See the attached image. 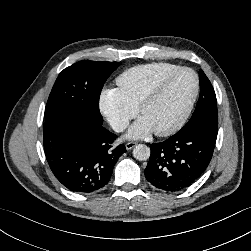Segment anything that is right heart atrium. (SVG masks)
<instances>
[{"instance_id": "right-heart-atrium-1", "label": "right heart atrium", "mask_w": 251, "mask_h": 251, "mask_svg": "<svg viewBox=\"0 0 251 251\" xmlns=\"http://www.w3.org/2000/svg\"><path fill=\"white\" fill-rule=\"evenodd\" d=\"M99 110L116 132L123 131L137 112L116 88H107L101 92Z\"/></svg>"}]
</instances>
